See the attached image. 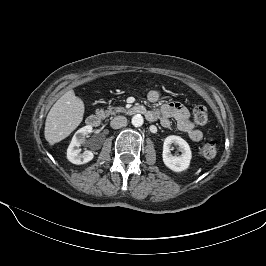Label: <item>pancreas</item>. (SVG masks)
Segmentation results:
<instances>
[{"label": "pancreas", "mask_w": 266, "mask_h": 266, "mask_svg": "<svg viewBox=\"0 0 266 266\" xmlns=\"http://www.w3.org/2000/svg\"><path fill=\"white\" fill-rule=\"evenodd\" d=\"M124 112L122 107H111L109 106L107 110L97 109L96 114L101 117H108L109 115H114L116 113Z\"/></svg>", "instance_id": "1"}]
</instances>
